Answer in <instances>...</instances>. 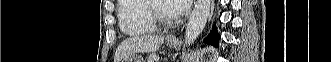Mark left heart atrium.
<instances>
[{
    "label": "left heart atrium",
    "mask_w": 331,
    "mask_h": 62,
    "mask_svg": "<svg viewBox=\"0 0 331 62\" xmlns=\"http://www.w3.org/2000/svg\"><path fill=\"white\" fill-rule=\"evenodd\" d=\"M190 3L191 0H168V11L174 16L182 15L189 9Z\"/></svg>",
    "instance_id": "1"
}]
</instances>
